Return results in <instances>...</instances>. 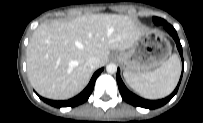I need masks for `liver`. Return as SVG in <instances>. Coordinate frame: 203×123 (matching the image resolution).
I'll use <instances>...</instances> for the list:
<instances>
[{
    "instance_id": "obj_1",
    "label": "liver",
    "mask_w": 203,
    "mask_h": 123,
    "mask_svg": "<svg viewBox=\"0 0 203 123\" xmlns=\"http://www.w3.org/2000/svg\"><path fill=\"white\" fill-rule=\"evenodd\" d=\"M148 30L127 15L92 14L71 21L52 20L41 24L27 47V74L43 97L66 100L80 93L93 70L90 56L104 66L111 50L129 49Z\"/></svg>"
}]
</instances>
